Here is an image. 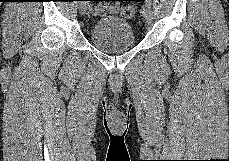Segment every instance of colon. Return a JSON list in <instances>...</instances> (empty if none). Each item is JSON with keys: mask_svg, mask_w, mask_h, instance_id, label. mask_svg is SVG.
<instances>
[{"mask_svg": "<svg viewBox=\"0 0 229 161\" xmlns=\"http://www.w3.org/2000/svg\"><path fill=\"white\" fill-rule=\"evenodd\" d=\"M135 14H136V7L133 5H126L121 10V15L127 19L133 18Z\"/></svg>", "mask_w": 229, "mask_h": 161, "instance_id": "obj_1", "label": "colon"}]
</instances>
